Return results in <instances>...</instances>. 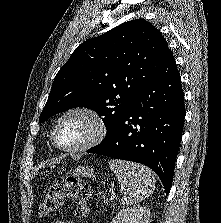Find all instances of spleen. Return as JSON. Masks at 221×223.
Masks as SVG:
<instances>
[{"label": "spleen", "mask_w": 221, "mask_h": 223, "mask_svg": "<svg viewBox=\"0 0 221 223\" xmlns=\"http://www.w3.org/2000/svg\"><path fill=\"white\" fill-rule=\"evenodd\" d=\"M109 167L124 191V197L121 199L123 206L137 204L153 192L155 178L149 168L118 159L110 160Z\"/></svg>", "instance_id": "1"}]
</instances>
